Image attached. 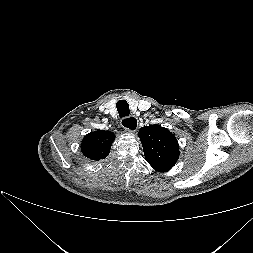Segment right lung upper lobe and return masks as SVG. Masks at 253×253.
I'll use <instances>...</instances> for the list:
<instances>
[{
	"label": "right lung upper lobe",
	"instance_id": "1",
	"mask_svg": "<svg viewBox=\"0 0 253 253\" xmlns=\"http://www.w3.org/2000/svg\"><path fill=\"white\" fill-rule=\"evenodd\" d=\"M114 138L115 135L109 131L91 132L82 140V153L91 160L104 159L109 155Z\"/></svg>",
	"mask_w": 253,
	"mask_h": 253
}]
</instances>
